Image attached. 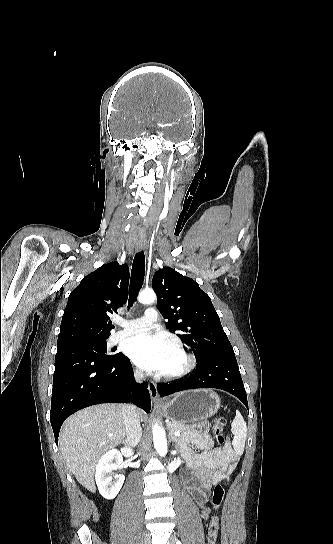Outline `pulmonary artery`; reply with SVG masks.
Instances as JSON below:
<instances>
[{
    "instance_id": "pulmonary-artery-1",
    "label": "pulmonary artery",
    "mask_w": 333,
    "mask_h": 544,
    "mask_svg": "<svg viewBox=\"0 0 333 544\" xmlns=\"http://www.w3.org/2000/svg\"><path fill=\"white\" fill-rule=\"evenodd\" d=\"M158 320V312L155 308H148L142 317L132 320H117V324L122 327L110 337V344L114 345L122 339L148 329Z\"/></svg>"
}]
</instances>
